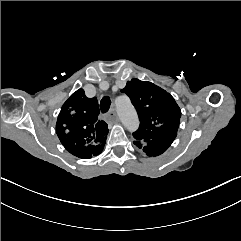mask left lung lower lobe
Wrapping results in <instances>:
<instances>
[{
	"instance_id": "left-lung-lower-lobe-1",
	"label": "left lung lower lobe",
	"mask_w": 241,
	"mask_h": 241,
	"mask_svg": "<svg viewBox=\"0 0 241 241\" xmlns=\"http://www.w3.org/2000/svg\"><path fill=\"white\" fill-rule=\"evenodd\" d=\"M176 135H177V133H172V134L167 135L166 145H165L164 149L161 152H158V153H146V154L148 156H157V155L162 154L171 145V143L174 141Z\"/></svg>"
}]
</instances>
